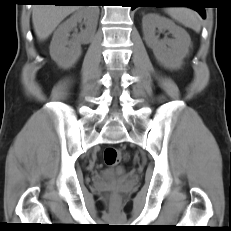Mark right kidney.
Segmentation results:
<instances>
[{"mask_svg":"<svg viewBox=\"0 0 231 231\" xmlns=\"http://www.w3.org/2000/svg\"><path fill=\"white\" fill-rule=\"evenodd\" d=\"M98 15V8L82 7L54 32L50 44V55L60 67L66 69L74 65L81 55V44L92 41L97 28ZM82 21L86 28L79 34H74L69 40L70 32Z\"/></svg>","mask_w":231,"mask_h":231,"instance_id":"right-kidney-1","label":"right kidney"}]
</instances>
